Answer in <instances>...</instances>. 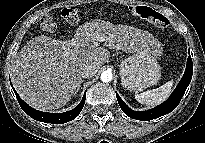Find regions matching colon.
<instances>
[{
	"instance_id": "colon-1",
	"label": "colon",
	"mask_w": 205,
	"mask_h": 143,
	"mask_svg": "<svg viewBox=\"0 0 205 143\" xmlns=\"http://www.w3.org/2000/svg\"><path fill=\"white\" fill-rule=\"evenodd\" d=\"M130 13L136 18L146 20L158 27H167L169 25V21L164 15L147 6H131ZM61 16L67 23L72 25L77 24L80 19L79 7H66L62 9ZM56 27V17L51 13L44 15L40 21V28L45 32H53Z\"/></svg>"
}]
</instances>
